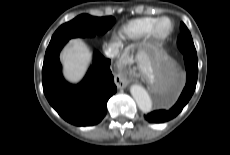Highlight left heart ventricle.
<instances>
[{
	"label": "left heart ventricle",
	"instance_id": "left-heart-ventricle-1",
	"mask_svg": "<svg viewBox=\"0 0 230 155\" xmlns=\"http://www.w3.org/2000/svg\"><path fill=\"white\" fill-rule=\"evenodd\" d=\"M170 25L168 22H164L162 25H161V30L163 32L167 31L169 29Z\"/></svg>",
	"mask_w": 230,
	"mask_h": 155
}]
</instances>
